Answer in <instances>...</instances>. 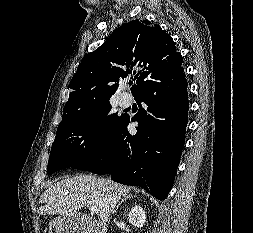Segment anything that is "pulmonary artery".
Segmentation results:
<instances>
[{"mask_svg":"<svg viewBox=\"0 0 253 233\" xmlns=\"http://www.w3.org/2000/svg\"><path fill=\"white\" fill-rule=\"evenodd\" d=\"M130 104H131V99L130 98H126V97L121 98V100H120V105L121 106L127 107Z\"/></svg>","mask_w":253,"mask_h":233,"instance_id":"obj_1","label":"pulmonary artery"}]
</instances>
